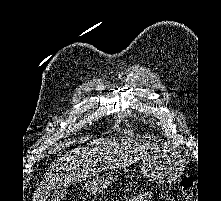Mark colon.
Masks as SVG:
<instances>
[{"label": "colon", "instance_id": "colon-1", "mask_svg": "<svg viewBox=\"0 0 221 201\" xmlns=\"http://www.w3.org/2000/svg\"><path fill=\"white\" fill-rule=\"evenodd\" d=\"M179 195L182 201H192L194 199L195 190L189 178H182L180 180Z\"/></svg>", "mask_w": 221, "mask_h": 201}]
</instances>
